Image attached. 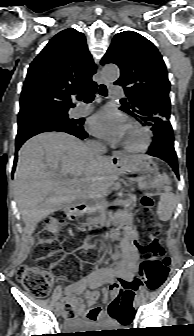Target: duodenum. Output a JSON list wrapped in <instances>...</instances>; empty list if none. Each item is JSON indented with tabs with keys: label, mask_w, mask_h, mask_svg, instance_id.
<instances>
[{
	"label": "duodenum",
	"mask_w": 194,
	"mask_h": 336,
	"mask_svg": "<svg viewBox=\"0 0 194 336\" xmlns=\"http://www.w3.org/2000/svg\"><path fill=\"white\" fill-rule=\"evenodd\" d=\"M87 205L84 203H75L73 204L68 213L67 216L70 220H76L77 218L81 217L87 212Z\"/></svg>",
	"instance_id": "obj_1"
}]
</instances>
